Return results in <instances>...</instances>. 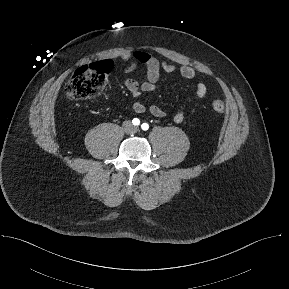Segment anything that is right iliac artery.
I'll use <instances>...</instances> for the list:
<instances>
[{
	"label": "right iliac artery",
	"mask_w": 289,
	"mask_h": 289,
	"mask_svg": "<svg viewBox=\"0 0 289 289\" xmlns=\"http://www.w3.org/2000/svg\"><path fill=\"white\" fill-rule=\"evenodd\" d=\"M132 123H133L134 125L138 126V125L140 124V120H139L138 118H134V119L132 120Z\"/></svg>",
	"instance_id": "right-iliac-artery-1"
}]
</instances>
